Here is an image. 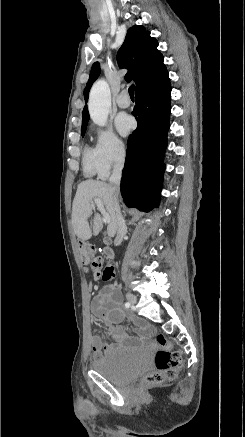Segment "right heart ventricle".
I'll return each instance as SVG.
<instances>
[{"instance_id":"obj_1","label":"right heart ventricle","mask_w":245,"mask_h":437,"mask_svg":"<svg viewBox=\"0 0 245 437\" xmlns=\"http://www.w3.org/2000/svg\"><path fill=\"white\" fill-rule=\"evenodd\" d=\"M83 169L87 175H93L98 172L93 150L89 147L84 149L83 153Z\"/></svg>"}]
</instances>
